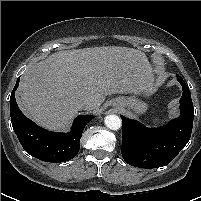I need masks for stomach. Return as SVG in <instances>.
I'll return each mask as SVG.
<instances>
[{
    "label": "stomach",
    "instance_id": "1",
    "mask_svg": "<svg viewBox=\"0 0 201 201\" xmlns=\"http://www.w3.org/2000/svg\"><path fill=\"white\" fill-rule=\"evenodd\" d=\"M138 92H133L130 97H118L113 103L115 109H131L135 114H143L147 109V104L137 98Z\"/></svg>",
    "mask_w": 201,
    "mask_h": 201
}]
</instances>
